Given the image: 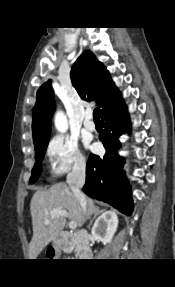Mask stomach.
I'll use <instances>...</instances> for the list:
<instances>
[{
	"label": "stomach",
	"instance_id": "obj_1",
	"mask_svg": "<svg viewBox=\"0 0 175 287\" xmlns=\"http://www.w3.org/2000/svg\"><path fill=\"white\" fill-rule=\"evenodd\" d=\"M61 245H62V242L59 238H56L53 240V246L54 247L59 248V247H61Z\"/></svg>",
	"mask_w": 175,
	"mask_h": 287
}]
</instances>
